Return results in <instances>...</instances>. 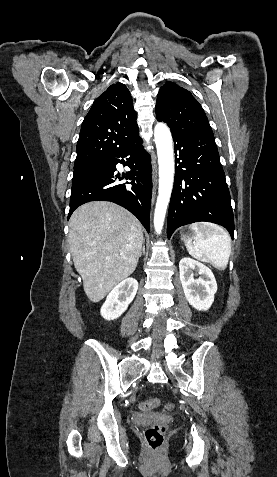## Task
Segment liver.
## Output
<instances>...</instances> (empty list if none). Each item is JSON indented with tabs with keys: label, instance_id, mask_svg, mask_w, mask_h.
Instances as JSON below:
<instances>
[{
	"label": "liver",
	"instance_id": "1",
	"mask_svg": "<svg viewBox=\"0 0 277 477\" xmlns=\"http://www.w3.org/2000/svg\"><path fill=\"white\" fill-rule=\"evenodd\" d=\"M70 251L90 301H101L138 264L143 227L126 209L93 201L74 211L69 221Z\"/></svg>",
	"mask_w": 277,
	"mask_h": 477
}]
</instances>
